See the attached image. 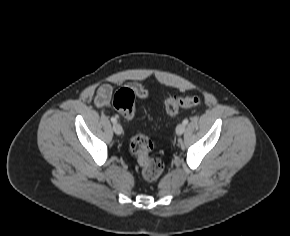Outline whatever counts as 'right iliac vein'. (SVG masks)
Wrapping results in <instances>:
<instances>
[{
	"mask_svg": "<svg viewBox=\"0 0 290 236\" xmlns=\"http://www.w3.org/2000/svg\"><path fill=\"white\" fill-rule=\"evenodd\" d=\"M113 130L117 135H121L123 132L122 126L119 123H114Z\"/></svg>",
	"mask_w": 290,
	"mask_h": 236,
	"instance_id": "1",
	"label": "right iliac vein"
}]
</instances>
